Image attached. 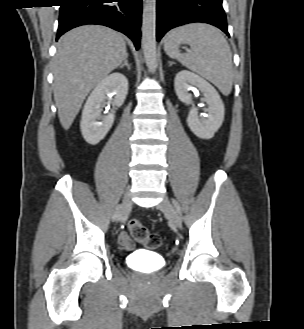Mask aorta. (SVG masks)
I'll list each match as a JSON object with an SVG mask.
<instances>
[{"mask_svg":"<svg viewBox=\"0 0 304 329\" xmlns=\"http://www.w3.org/2000/svg\"><path fill=\"white\" fill-rule=\"evenodd\" d=\"M142 49L149 69L158 65L156 51V0H145L142 15Z\"/></svg>","mask_w":304,"mask_h":329,"instance_id":"aorta-1","label":"aorta"}]
</instances>
